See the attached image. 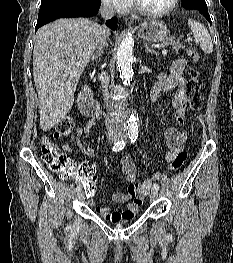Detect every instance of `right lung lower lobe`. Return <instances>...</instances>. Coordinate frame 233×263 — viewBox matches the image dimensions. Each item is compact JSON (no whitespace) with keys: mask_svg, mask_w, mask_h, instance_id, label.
<instances>
[{"mask_svg":"<svg viewBox=\"0 0 233 263\" xmlns=\"http://www.w3.org/2000/svg\"><path fill=\"white\" fill-rule=\"evenodd\" d=\"M100 5H101L100 0H83V1L78 3L76 9L71 13H69L67 15H62V16L52 18V19L45 21V22H42V23H37V25L35 27V31H37L38 28H40L44 24L49 23V22L56 20L58 18H62V17H93L97 14V12L100 8ZM106 25L108 27H110L112 30H116L117 18L113 17L112 19L108 20L106 22Z\"/></svg>","mask_w":233,"mask_h":263,"instance_id":"right-lung-lower-lobe-1","label":"right lung lower lobe"}]
</instances>
